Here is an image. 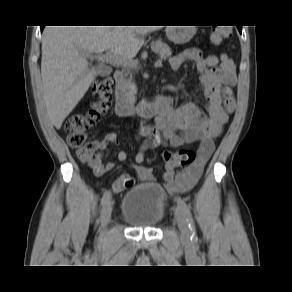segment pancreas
<instances>
[{"instance_id": "cf45deb5", "label": "pancreas", "mask_w": 292, "mask_h": 292, "mask_svg": "<svg viewBox=\"0 0 292 292\" xmlns=\"http://www.w3.org/2000/svg\"><path fill=\"white\" fill-rule=\"evenodd\" d=\"M151 48H152V50L155 53H158L159 56L162 59H166L167 57H170L171 54H172L170 47L166 43H164V42H162L160 40H157L155 42H152L151 43ZM128 74H130V78L125 79L122 82V86L126 90V92H127L128 95H134L136 93V86L132 82V75H131V73L128 72L127 75Z\"/></svg>"}]
</instances>
